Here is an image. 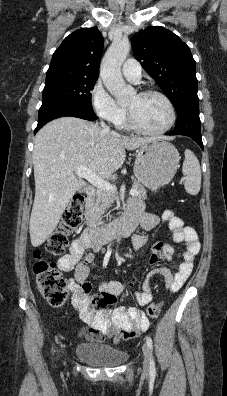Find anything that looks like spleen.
Listing matches in <instances>:
<instances>
[{
  "mask_svg": "<svg viewBox=\"0 0 227 396\" xmlns=\"http://www.w3.org/2000/svg\"><path fill=\"white\" fill-rule=\"evenodd\" d=\"M182 172L185 176V190L191 195H197L201 186V168L197 157L189 149L185 150Z\"/></svg>",
  "mask_w": 227,
  "mask_h": 396,
  "instance_id": "obj_1",
  "label": "spleen"
}]
</instances>
